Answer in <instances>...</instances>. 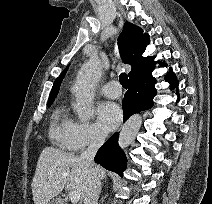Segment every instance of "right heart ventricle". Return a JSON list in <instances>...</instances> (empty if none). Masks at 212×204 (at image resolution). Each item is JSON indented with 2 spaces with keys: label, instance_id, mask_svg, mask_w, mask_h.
<instances>
[{
  "label": "right heart ventricle",
  "instance_id": "e07e8e85",
  "mask_svg": "<svg viewBox=\"0 0 212 204\" xmlns=\"http://www.w3.org/2000/svg\"><path fill=\"white\" fill-rule=\"evenodd\" d=\"M76 122L67 108L58 106L52 116L49 128L50 139L59 147L71 150V138Z\"/></svg>",
  "mask_w": 212,
  "mask_h": 204
}]
</instances>
